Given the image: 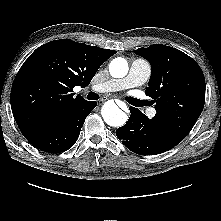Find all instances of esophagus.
Here are the masks:
<instances>
[{"label": "esophagus", "instance_id": "34e87169", "mask_svg": "<svg viewBox=\"0 0 221 221\" xmlns=\"http://www.w3.org/2000/svg\"><path fill=\"white\" fill-rule=\"evenodd\" d=\"M108 100V97L104 96L101 98V101H106ZM119 104H121V106H126L122 101H119Z\"/></svg>", "mask_w": 221, "mask_h": 221}]
</instances>
